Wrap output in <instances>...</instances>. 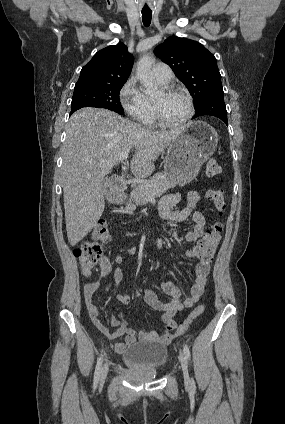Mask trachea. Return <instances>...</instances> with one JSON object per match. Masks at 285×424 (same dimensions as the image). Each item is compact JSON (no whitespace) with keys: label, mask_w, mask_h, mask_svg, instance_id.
<instances>
[{"label":"trachea","mask_w":285,"mask_h":424,"mask_svg":"<svg viewBox=\"0 0 285 424\" xmlns=\"http://www.w3.org/2000/svg\"><path fill=\"white\" fill-rule=\"evenodd\" d=\"M151 19H152L151 10L142 11V21L145 27H148L150 25Z\"/></svg>","instance_id":"3493384b"}]
</instances>
